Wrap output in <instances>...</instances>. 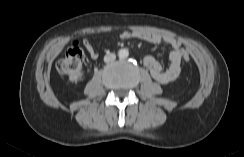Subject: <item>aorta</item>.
I'll list each match as a JSON object with an SVG mask.
<instances>
[{
  "mask_svg": "<svg viewBox=\"0 0 244 157\" xmlns=\"http://www.w3.org/2000/svg\"><path fill=\"white\" fill-rule=\"evenodd\" d=\"M128 55H129L128 49H120L118 51V56H119L120 59H125V58L128 57Z\"/></svg>",
  "mask_w": 244,
  "mask_h": 157,
  "instance_id": "obj_1",
  "label": "aorta"
}]
</instances>
